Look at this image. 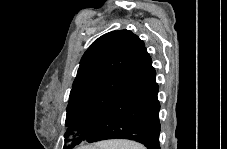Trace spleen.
Segmentation results:
<instances>
[{
    "mask_svg": "<svg viewBox=\"0 0 227 149\" xmlns=\"http://www.w3.org/2000/svg\"><path fill=\"white\" fill-rule=\"evenodd\" d=\"M99 149H145L143 145L134 141L115 140L98 143Z\"/></svg>",
    "mask_w": 227,
    "mask_h": 149,
    "instance_id": "3e777b00",
    "label": "spleen"
}]
</instances>
